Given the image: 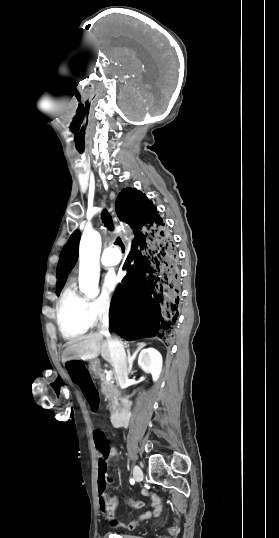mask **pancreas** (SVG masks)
<instances>
[{
  "mask_svg": "<svg viewBox=\"0 0 279 538\" xmlns=\"http://www.w3.org/2000/svg\"><path fill=\"white\" fill-rule=\"evenodd\" d=\"M100 380L101 392L104 394L105 400L108 402V408L112 412L114 406H117L118 404L119 390H117L112 382H107V380H105L104 374H100Z\"/></svg>",
  "mask_w": 279,
  "mask_h": 538,
  "instance_id": "cf45deb5",
  "label": "pancreas"
}]
</instances>
